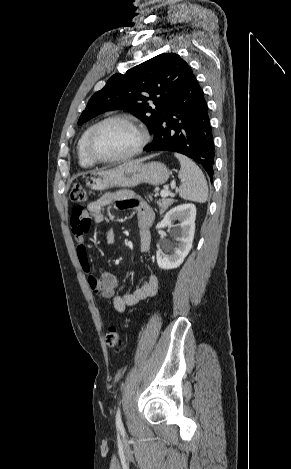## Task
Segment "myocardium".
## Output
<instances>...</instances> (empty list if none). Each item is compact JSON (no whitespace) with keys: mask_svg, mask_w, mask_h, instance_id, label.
I'll return each mask as SVG.
<instances>
[{"mask_svg":"<svg viewBox=\"0 0 291 469\" xmlns=\"http://www.w3.org/2000/svg\"><path fill=\"white\" fill-rule=\"evenodd\" d=\"M114 121H121L125 122L129 125H131L139 134L140 139L138 144L128 153L117 156V157H112V158H104L96 154V152L93 149V140L94 137L97 133V131L104 126L107 123L114 122ZM150 139L149 133L145 126L140 123L136 118L125 115V114H117V115H112L109 116L95 125L91 128L89 131V134L87 136L86 140V152L88 156L95 162L97 163H116V162H122L125 160H128L136 155H138L148 144Z\"/></svg>","mask_w":291,"mask_h":469,"instance_id":"1","label":"myocardium"}]
</instances>
